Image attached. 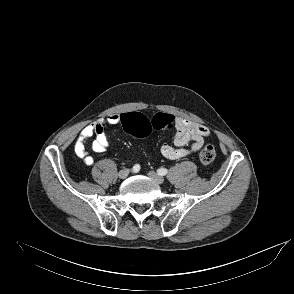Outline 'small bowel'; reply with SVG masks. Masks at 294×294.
<instances>
[{
  "label": "small bowel",
  "mask_w": 294,
  "mask_h": 294,
  "mask_svg": "<svg viewBox=\"0 0 294 294\" xmlns=\"http://www.w3.org/2000/svg\"><path fill=\"white\" fill-rule=\"evenodd\" d=\"M123 114H111L87 125L82 129L74 146L76 155L88 166L94 163V158L88 154L86 145L93 138L92 150L96 153L105 152L110 142L105 133L107 125H118L122 122ZM210 134L209 129L199 123L184 118H176L173 145L163 144L160 148L162 156L176 160L197 152L203 145L204 139Z\"/></svg>",
  "instance_id": "obj_1"
}]
</instances>
